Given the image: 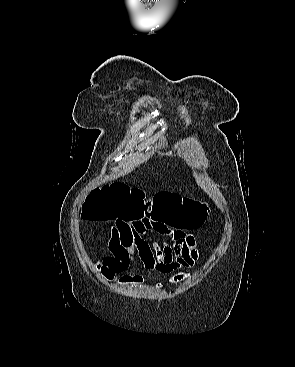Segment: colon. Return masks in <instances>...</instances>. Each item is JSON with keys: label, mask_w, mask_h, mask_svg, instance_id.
Listing matches in <instances>:
<instances>
[{"label": "colon", "mask_w": 295, "mask_h": 367, "mask_svg": "<svg viewBox=\"0 0 295 367\" xmlns=\"http://www.w3.org/2000/svg\"><path fill=\"white\" fill-rule=\"evenodd\" d=\"M86 219L98 221L166 220L186 230L203 225L208 215L205 203L169 192H158L146 199L139 188L114 183L95 188L82 209Z\"/></svg>", "instance_id": "1"}]
</instances>
